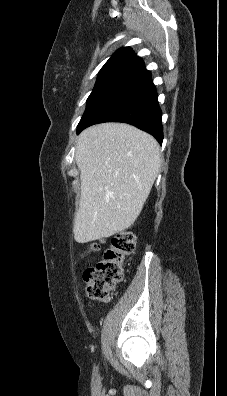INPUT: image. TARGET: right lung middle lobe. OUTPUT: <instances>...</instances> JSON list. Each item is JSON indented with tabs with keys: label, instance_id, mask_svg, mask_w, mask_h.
<instances>
[{
	"label": "right lung middle lobe",
	"instance_id": "1",
	"mask_svg": "<svg viewBox=\"0 0 227 396\" xmlns=\"http://www.w3.org/2000/svg\"><path fill=\"white\" fill-rule=\"evenodd\" d=\"M133 73L134 72L129 70H109L99 72L95 87L87 99L85 112L78 125H80L88 114H90Z\"/></svg>",
	"mask_w": 227,
	"mask_h": 396
}]
</instances>
